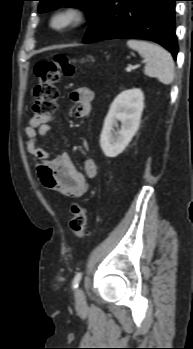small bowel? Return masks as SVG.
I'll return each instance as SVG.
<instances>
[{"label":"small bowel","mask_w":193,"mask_h":349,"mask_svg":"<svg viewBox=\"0 0 193 349\" xmlns=\"http://www.w3.org/2000/svg\"><path fill=\"white\" fill-rule=\"evenodd\" d=\"M93 99L94 93L87 87H80L71 93V100L76 105V118L89 116ZM56 120L53 115L33 116L24 128L26 149L33 156L38 179L46 189L78 198L88 191L87 180L97 175V164L93 158L88 157L80 171L74 166L67 152L53 156L39 145L38 138L47 136L51 130L50 124ZM83 146L88 149L86 142Z\"/></svg>","instance_id":"small-bowel-1"}]
</instances>
